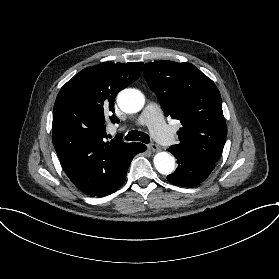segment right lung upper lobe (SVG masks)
<instances>
[{
  "label": "right lung upper lobe",
  "instance_id": "obj_1",
  "mask_svg": "<svg viewBox=\"0 0 279 279\" xmlns=\"http://www.w3.org/2000/svg\"><path fill=\"white\" fill-rule=\"evenodd\" d=\"M142 62H105L76 74L54 105L52 140L71 182L90 196L102 194L130 163L141 143L106 142L104 109L114 112L117 93L137 80ZM110 120L119 123L112 115Z\"/></svg>",
  "mask_w": 279,
  "mask_h": 279
}]
</instances>
